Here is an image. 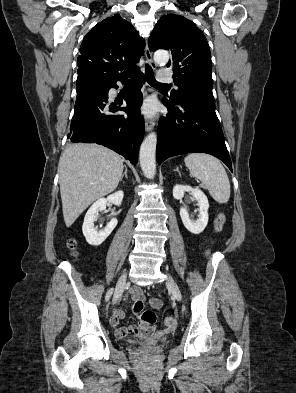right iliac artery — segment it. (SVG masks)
Segmentation results:
<instances>
[{
    "instance_id": "1",
    "label": "right iliac artery",
    "mask_w": 296,
    "mask_h": 393,
    "mask_svg": "<svg viewBox=\"0 0 296 393\" xmlns=\"http://www.w3.org/2000/svg\"><path fill=\"white\" fill-rule=\"evenodd\" d=\"M112 293H113V288L109 289L108 292L106 293V297H105L106 301L110 299Z\"/></svg>"
}]
</instances>
